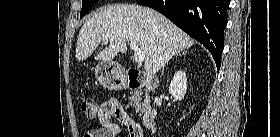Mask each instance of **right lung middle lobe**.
<instances>
[{
	"label": "right lung middle lobe",
	"mask_w": 280,
	"mask_h": 137,
	"mask_svg": "<svg viewBox=\"0 0 280 137\" xmlns=\"http://www.w3.org/2000/svg\"><path fill=\"white\" fill-rule=\"evenodd\" d=\"M97 1L98 0H82L83 5L80 12V18L87 14Z\"/></svg>",
	"instance_id": "right-lung-middle-lobe-1"
}]
</instances>
